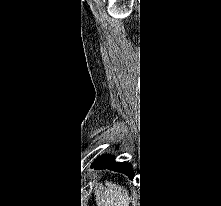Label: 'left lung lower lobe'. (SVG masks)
I'll use <instances>...</instances> for the list:
<instances>
[{
  "label": "left lung lower lobe",
  "mask_w": 221,
  "mask_h": 206,
  "mask_svg": "<svg viewBox=\"0 0 221 206\" xmlns=\"http://www.w3.org/2000/svg\"><path fill=\"white\" fill-rule=\"evenodd\" d=\"M94 168H108L113 171L122 172L133 179L134 172L132 166L128 162H115L110 156H100L91 164Z\"/></svg>",
  "instance_id": "left-lung-lower-lobe-1"
}]
</instances>
